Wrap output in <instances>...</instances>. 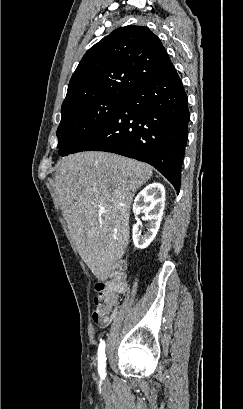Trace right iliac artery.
Returning a JSON list of instances; mask_svg holds the SVG:
<instances>
[{"instance_id":"82829eb1","label":"right iliac artery","mask_w":243,"mask_h":409,"mask_svg":"<svg viewBox=\"0 0 243 409\" xmlns=\"http://www.w3.org/2000/svg\"><path fill=\"white\" fill-rule=\"evenodd\" d=\"M105 367H106L105 342L101 341L98 348V370L102 379L106 375Z\"/></svg>"}]
</instances>
